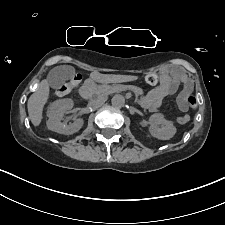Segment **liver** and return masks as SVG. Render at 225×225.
<instances>
[{
    "label": "liver",
    "instance_id": "obj_1",
    "mask_svg": "<svg viewBox=\"0 0 225 225\" xmlns=\"http://www.w3.org/2000/svg\"><path fill=\"white\" fill-rule=\"evenodd\" d=\"M90 79L98 83H115L124 82L136 79L133 76L100 74L99 72H92ZM49 98V84L46 79L39 83L37 90L29 97L27 102L29 119L34 126H39L42 121V113L44 105Z\"/></svg>",
    "mask_w": 225,
    "mask_h": 225
}]
</instances>
